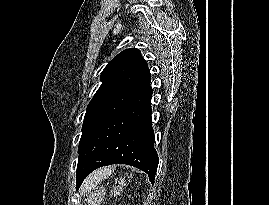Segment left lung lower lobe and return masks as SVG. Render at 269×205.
I'll return each instance as SVG.
<instances>
[{"mask_svg": "<svg viewBox=\"0 0 269 205\" xmlns=\"http://www.w3.org/2000/svg\"><path fill=\"white\" fill-rule=\"evenodd\" d=\"M152 92L149 85L96 131L78 159L77 189L93 170L116 163L146 172L154 183L159 158L151 126Z\"/></svg>", "mask_w": 269, "mask_h": 205, "instance_id": "obj_1", "label": "left lung lower lobe"}]
</instances>
